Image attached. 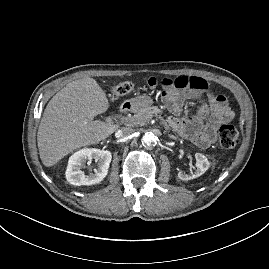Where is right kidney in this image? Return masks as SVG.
I'll use <instances>...</instances> for the list:
<instances>
[{
  "instance_id": "right-kidney-1",
  "label": "right kidney",
  "mask_w": 269,
  "mask_h": 269,
  "mask_svg": "<svg viewBox=\"0 0 269 269\" xmlns=\"http://www.w3.org/2000/svg\"><path fill=\"white\" fill-rule=\"evenodd\" d=\"M94 159L97 163V169L94 173L86 175L82 168L86 161ZM112 159L110 151L96 148H84L75 152L68 161L66 169L67 181L76 186L93 185L101 182L108 173V168Z\"/></svg>"
}]
</instances>
